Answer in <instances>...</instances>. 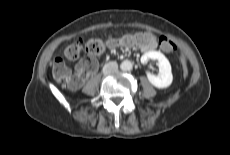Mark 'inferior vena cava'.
<instances>
[{"instance_id":"obj_1","label":"inferior vena cava","mask_w":230,"mask_h":155,"mask_svg":"<svg viewBox=\"0 0 230 155\" xmlns=\"http://www.w3.org/2000/svg\"><path fill=\"white\" fill-rule=\"evenodd\" d=\"M118 69V64L115 61L109 62L107 63L104 67H103V73L104 74H110L113 72H116Z\"/></svg>"}]
</instances>
